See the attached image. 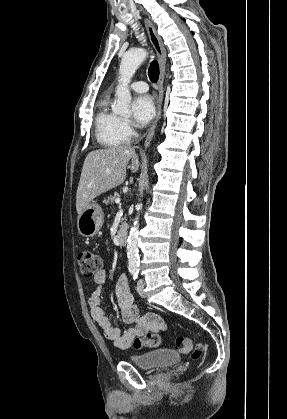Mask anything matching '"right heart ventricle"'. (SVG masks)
<instances>
[{
    "mask_svg": "<svg viewBox=\"0 0 287 419\" xmlns=\"http://www.w3.org/2000/svg\"><path fill=\"white\" fill-rule=\"evenodd\" d=\"M95 135L98 143L107 148L118 147L128 141L121 129V118L110 110L108 98H103L98 104Z\"/></svg>",
    "mask_w": 287,
    "mask_h": 419,
    "instance_id": "1",
    "label": "right heart ventricle"
}]
</instances>
